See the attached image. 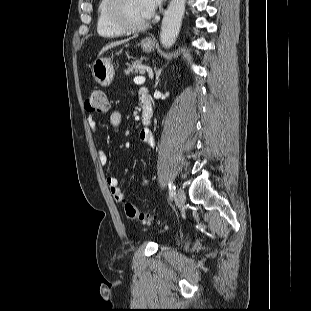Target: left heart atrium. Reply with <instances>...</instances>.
I'll return each instance as SVG.
<instances>
[{
  "label": "left heart atrium",
  "instance_id": "left-heart-atrium-1",
  "mask_svg": "<svg viewBox=\"0 0 311 311\" xmlns=\"http://www.w3.org/2000/svg\"><path fill=\"white\" fill-rule=\"evenodd\" d=\"M162 0H141L142 8L147 18L152 17L158 7L161 5Z\"/></svg>",
  "mask_w": 311,
  "mask_h": 311
}]
</instances>
